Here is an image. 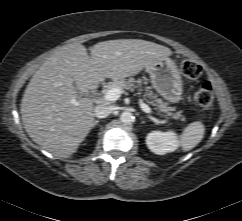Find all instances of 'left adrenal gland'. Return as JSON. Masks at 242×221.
I'll list each match as a JSON object with an SVG mask.
<instances>
[{
  "label": "left adrenal gland",
  "instance_id": "1",
  "mask_svg": "<svg viewBox=\"0 0 242 221\" xmlns=\"http://www.w3.org/2000/svg\"><path fill=\"white\" fill-rule=\"evenodd\" d=\"M148 118H152L150 115H147Z\"/></svg>",
  "mask_w": 242,
  "mask_h": 221
}]
</instances>
